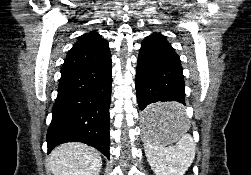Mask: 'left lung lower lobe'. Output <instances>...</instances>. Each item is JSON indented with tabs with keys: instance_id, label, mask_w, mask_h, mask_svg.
<instances>
[{
	"instance_id": "1",
	"label": "left lung lower lobe",
	"mask_w": 251,
	"mask_h": 175,
	"mask_svg": "<svg viewBox=\"0 0 251 175\" xmlns=\"http://www.w3.org/2000/svg\"><path fill=\"white\" fill-rule=\"evenodd\" d=\"M182 70L178 54L163 35L153 33L142 41L135 81L142 123L159 125L184 117L182 105L186 103ZM171 101L174 103L162 104Z\"/></svg>"
}]
</instances>
